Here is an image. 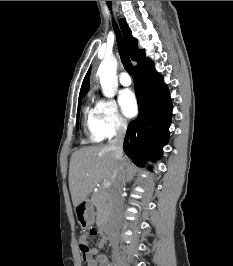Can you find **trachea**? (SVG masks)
I'll return each mask as SVG.
<instances>
[{"label":"trachea","mask_w":233,"mask_h":266,"mask_svg":"<svg viewBox=\"0 0 233 266\" xmlns=\"http://www.w3.org/2000/svg\"><path fill=\"white\" fill-rule=\"evenodd\" d=\"M107 5H108L109 9H111V7H112L111 1H107ZM113 28H114V31L116 34L117 46L119 49V55L121 58V62L123 64L125 70L129 74L132 75L133 74V66H132V63L130 61L128 52L126 50L123 38H122L121 33H120V30H119V28H118V26L114 20H113Z\"/></svg>","instance_id":"obj_1"}]
</instances>
